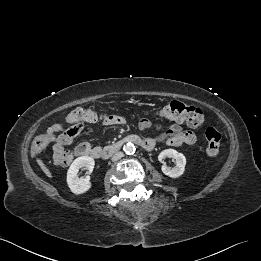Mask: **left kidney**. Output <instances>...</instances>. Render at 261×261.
Returning a JSON list of instances; mask_svg holds the SVG:
<instances>
[{
    "mask_svg": "<svg viewBox=\"0 0 261 261\" xmlns=\"http://www.w3.org/2000/svg\"><path fill=\"white\" fill-rule=\"evenodd\" d=\"M166 157L175 159L176 166L173 168L167 167L165 165L162 166V172L171 177L178 178L180 177L185 170L186 158L182 153L177 152L174 149H165L158 155V160L163 162V159Z\"/></svg>",
    "mask_w": 261,
    "mask_h": 261,
    "instance_id": "5707ae66",
    "label": "left kidney"
}]
</instances>
